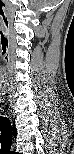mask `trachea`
<instances>
[{
  "label": "trachea",
  "instance_id": "obj_1",
  "mask_svg": "<svg viewBox=\"0 0 74 154\" xmlns=\"http://www.w3.org/2000/svg\"><path fill=\"white\" fill-rule=\"evenodd\" d=\"M0 128H1V141H10L12 142V129L11 122L7 117L0 118Z\"/></svg>",
  "mask_w": 74,
  "mask_h": 154
}]
</instances>
